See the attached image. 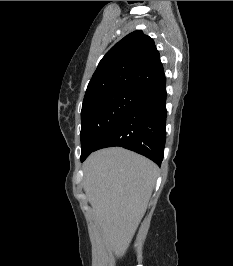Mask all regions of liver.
I'll list each match as a JSON object with an SVG mask.
<instances>
[{
    "label": "liver",
    "mask_w": 233,
    "mask_h": 266,
    "mask_svg": "<svg viewBox=\"0 0 233 266\" xmlns=\"http://www.w3.org/2000/svg\"><path fill=\"white\" fill-rule=\"evenodd\" d=\"M158 175L149 159L121 147L92 153L83 164V187L106 249L119 258L143 218Z\"/></svg>",
    "instance_id": "6515ba94"
}]
</instances>
